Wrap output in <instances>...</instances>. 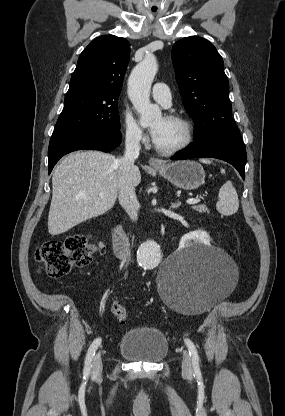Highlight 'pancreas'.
I'll return each mask as SVG.
<instances>
[{"label": "pancreas", "instance_id": "obj_1", "mask_svg": "<svg viewBox=\"0 0 285 416\" xmlns=\"http://www.w3.org/2000/svg\"><path fill=\"white\" fill-rule=\"evenodd\" d=\"M193 210H196V212H200V214H202V212H207V214H209L208 212V208H206V206H192Z\"/></svg>", "mask_w": 285, "mask_h": 416}]
</instances>
